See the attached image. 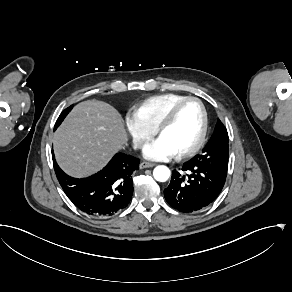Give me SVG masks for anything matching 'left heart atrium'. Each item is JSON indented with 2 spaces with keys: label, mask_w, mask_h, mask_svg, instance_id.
Instances as JSON below:
<instances>
[{
  "label": "left heart atrium",
  "mask_w": 292,
  "mask_h": 292,
  "mask_svg": "<svg viewBox=\"0 0 292 292\" xmlns=\"http://www.w3.org/2000/svg\"><path fill=\"white\" fill-rule=\"evenodd\" d=\"M144 156L152 160H167L177 155L178 150L165 138L151 140L143 149Z\"/></svg>",
  "instance_id": "39dd6f15"
}]
</instances>
